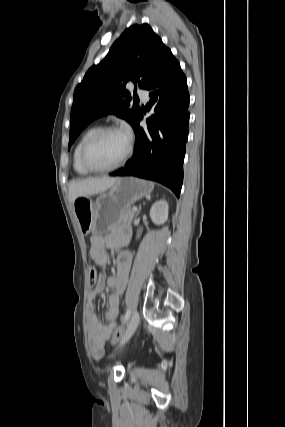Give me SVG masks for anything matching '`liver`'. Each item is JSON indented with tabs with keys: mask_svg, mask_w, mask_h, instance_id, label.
Returning <instances> with one entry per match:
<instances>
[{
	"mask_svg": "<svg viewBox=\"0 0 285 427\" xmlns=\"http://www.w3.org/2000/svg\"><path fill=\"white\" fill-rule=\"evenodd\" d=\"M118 178H87L73 181L69 186V201L73 204L79 197H89L108 190Z\"/></svg>",
	"mask_w": 285,
	"mask_h": 427,
	"instance_id": "obj_1",
	"label": "liver"
}]
</instances>
